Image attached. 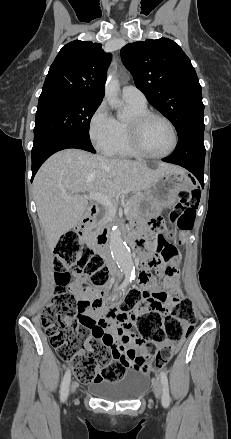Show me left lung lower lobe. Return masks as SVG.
Wrapping results in <instances>:
<instances>
[{
  "label": "left lung lower lobe",
  "instance_id": "left-lung-lower-lobe-1",
  "mask_svg": "<svg viewBox=\"0 0 231 439\" xmlns=\"http://www.w3.org/2000/svg\"><path fill=\"white\" fill-rule=\"evenodd\" d=\"M204 125L193 126L179 137L175 151L162 161L180 165L195 175L204 186L205 147L203 144Z\"/></svg>",
  "mask_w": 231,
  "mask_h": 439
}]
</instances>
